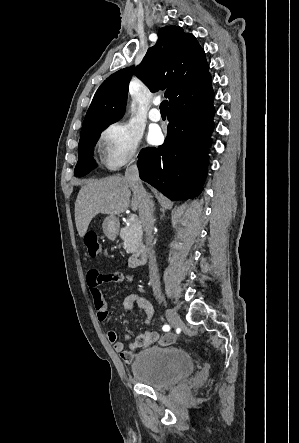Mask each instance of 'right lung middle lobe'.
Returning <instances> with one entry per match:
<instances>
[{"instance_id":"1","label":"right lung middle lobe","mask_w":299,"mask_h":443,"mask_svg":"<svg viewBox=\"0 0 299 443\" xmlns=\"http://www.w3.org/2000/svg\"><path fill=\"white\" fill-rule=\"evenodd\" d=\"M96 128L81 136L79 141V157L75 167L74 174L77 177L88 174L91 170L97 167L93 158V149L99 139L101 132L107 127Z\"/></svg>"}]
</instances>
